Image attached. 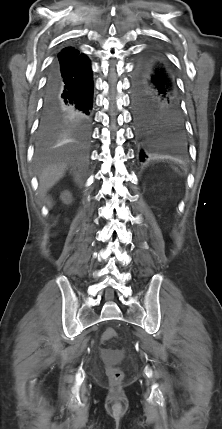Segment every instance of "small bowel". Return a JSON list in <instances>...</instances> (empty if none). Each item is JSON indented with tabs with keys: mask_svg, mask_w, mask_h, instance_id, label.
Segmentation results:
<instances>
[{
	"mask_svg": "<svg viewBox=\"0 0 222 429\" xmlns=\"http://www.w3.org/2000/svg\"><path fill=\"white\" fill-rule=\"evenodd\" d=\"M103 354H104L105 356H111V355H113V354H114V352H112V351H110V350H103Z\"/></svg>",
	"mask_w": 222,
	"mask_h": 429,
	"instance_id": "1",
	"label": "small bowel"
}]
</instances>
